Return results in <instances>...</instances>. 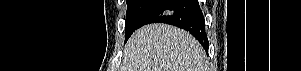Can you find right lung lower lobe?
<instances>
[{"instance_id": "98d812e1", "label": "right lung lower lobe", "mask_w": 301, "mask_h": 71, "mask_svg": "<svg viewBox=\"0 0 301 71\" xmlns=\"http://www.w3.org/2000/svg\"><path fill=\"white\" fill-rule=\"evenodd\" d=\"M167 23L189 31L208 51L203 13L198 0H158L144 15L139 26Z\"/></svg>"}]
</instances>
